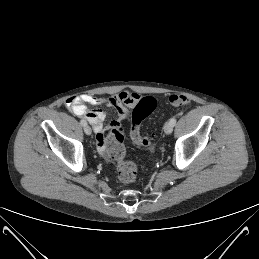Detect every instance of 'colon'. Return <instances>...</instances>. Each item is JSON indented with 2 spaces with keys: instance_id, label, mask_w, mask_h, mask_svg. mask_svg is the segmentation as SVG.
Returning a JSON list of instances; mask_svg holds the SVG:
<instances>
[{
  "instance_id": "1",
  "label": "colon",
  "mask_w": 259,
  "mask_h": 259,
  "mask_svg": "<svg viewBox=\"0 0 259 259\" xmlns=\"http://www.w3.org/2000/svg\"><path fill=\"white\" fill-rule=\"evenodd\" d=\"M172 106H185L190 103L188 96L184 94H173L168 98ZM156 100L146 96L138 100L132 113L131 138L137 145L150 147L152 136L142 134L140 131L143 120L154 110ZM105 157L116 164L119 180L125 184H131L137 178V166L134 162L126 159L123 129L120 125L110 128L105 139Z\"/></svg>"
}]
</instances>
